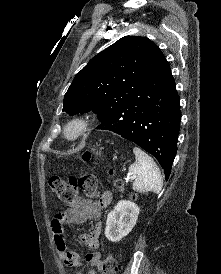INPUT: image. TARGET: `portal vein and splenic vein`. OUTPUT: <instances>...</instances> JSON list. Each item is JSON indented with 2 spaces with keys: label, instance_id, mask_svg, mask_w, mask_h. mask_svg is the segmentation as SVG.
<instances>
[{
  "label": "portal vein and splenic vein",
  "instance_id": "portal-vein-and-splenic-vein-1",
  "mask_svg": "<svg viewBox=\"0 0 221 274\" xmlns=\"http://www.w3.org/2000/svg\"><path fill=\"white\" fill-rule=\"evenodd\" d=\"M132 179H134L133 176L127 175L126 182H128V181H130V180H132Z\"/></svg>",
  "mask_w": 221,
  "mask_h": 274
}]
</instances>
